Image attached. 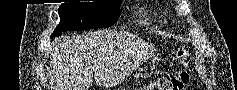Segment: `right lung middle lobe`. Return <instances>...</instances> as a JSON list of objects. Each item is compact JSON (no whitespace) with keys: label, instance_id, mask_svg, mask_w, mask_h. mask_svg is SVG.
<instances>
[{"label":"right lung middle lobe","instance_id":"obj_1","mask_svg":"<svg viewBox=\"0 0 237 90\" xmlns=\"http://www.w3.org/2000/svg\"><path fill=\"white\" fill-rule=\"evenodd\" d=\"M121 0L63 3L58 10L60 22L51 38L60 36L63 31L87 30L109 27L118 17Z\"/></svg>","mask_w":237,"mask_h":90}]
</instances>
